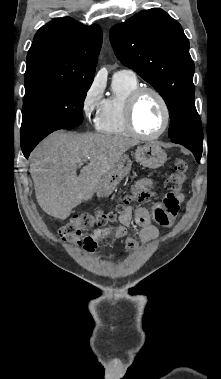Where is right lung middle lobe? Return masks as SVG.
Masks as SVG:
<instances>
[{
	"label": "right lung middle lobe",
	"mask_w": 221,
	"mask_h": 379,
	"mask_svg": "<svg viewBox=\"0 0 221 379\" xmlns=\"http://www.w3.org/2000/svg\"><path fill=\"white\" fill-rule=\"evenodd\" d=\"M92 82L76 81L25 93L21 139L34 141L55 130L82 124V108Z\"/></svg>",
	"instance_id": "dd1d6c3e"
}]
</instances>
